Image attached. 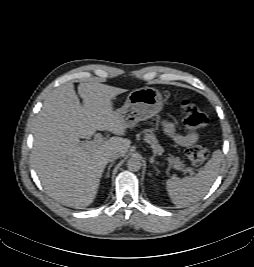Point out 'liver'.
Returning a JSON list of instances; mask_svg holds the SVG:
<instances>
[{
	"label": "liver",
	"mask_w": 254,
	"mask_h": 267,
	"mask_svg": "<svg viewBox=\"0 0 254 267\" xmlns=\"http://www.w3.org/2000/svg\"><path fill=\"white\" fill-rule=\"evenodd\" d=\"M126 89L98 82L80 83L78 94L71 82L48 94L33 125L31 162L47 194L73 208L92 204L99 189L108 156H125L131 141L124 136L128 127L114 111L112 100ZM97 130L115 135L95 147H86Z\"/></svg>",
	"instance_id": "obj_1"
}]
</instances>
